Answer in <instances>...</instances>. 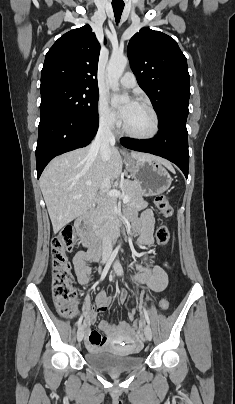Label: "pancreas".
<instances>
[{
  "label": "pancreas",
  "instance_id": "pancreas-1",
  "mask_svg": "<svg viewBox=\"0 0 235 404\" xmlns=\"http://www.w3.org/2000/svg\"><path fill=\"white\" fill-rule=\"evenodd\" d=\"M121 189L129 197V206L141 208L146 204L143 200L142 188L137 182L126 180L122 183ZM117 205L116 198H108L100 204L96 212V227L100 233H104L109 224L117 219Z\"/></svg>",
  "mask_w": 235,
  "mask_h": 404
}]
</instances>
